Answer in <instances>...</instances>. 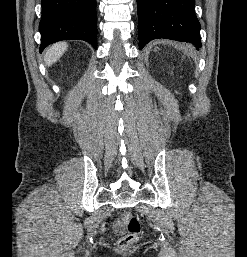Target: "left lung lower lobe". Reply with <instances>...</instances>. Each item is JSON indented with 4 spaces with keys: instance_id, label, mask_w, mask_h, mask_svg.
I'll list each match as a JSON object with an SVG mask.
<instances>
[{
    "instance_id": "left-lung-lower-lobe-1",
    "label": "left lung lower lobe",
    "mask_w": 247,
    "mask_h": 257,
    "mask_svg": "<svg viewBox=\"0 0 247 257\" xmlns=\"http://www.w3.org/2000/svg\"><path fill=\"white\" fill-rule=\"evenodd\" d=\"M195 0H137L139 47L158 38L201 47Z\"/></svg>"
}]
</instances>
